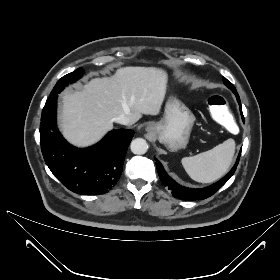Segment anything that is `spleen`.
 <instances>
[{
	"mask_svg": "<svg viewBox=\"0 0 280 280\" xmlns=\"http://www.w3.org/2000/svg\"><path fill=\"white\" fill-rule=\"evenodd\" d=\"M234 153L235 141L230 138L208 151L191 157H183L181 162L193 180L210 183L228 171Z\"/></svg>",
	"mask_w": 280,
	"mask_h": 280,
	"instance_id": "obj_1",
	"label": "spleen"
}]
</instances>
